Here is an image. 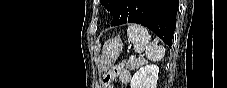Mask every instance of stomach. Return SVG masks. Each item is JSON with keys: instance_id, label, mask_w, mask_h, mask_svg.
Instances as JSON below:
<instances>
[{"instance_id": "stomach-1", "label": "stomach", "mask_w": 227, "mask_h": 88, "mask_svg": "<svg viewBox=\"0 0 227 88\" xmlns=\"http://www.w3.org/2000/svg\"><path fill=\"white\" fill-rule=\"evenodd\" d=\"M123 49V44L120 37L109 39L105 42L102 49V68L108 69L120 55Z\"/></svg>"}]
</instances>
